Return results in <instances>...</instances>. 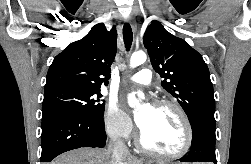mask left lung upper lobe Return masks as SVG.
I'll return each instance as SVG.
<instances>
[{"instance_id":"left-lung-upper-lobe-1","label":"left lung upper lobe","mask_w":251,"mask_h":164,"mask_svg":"<svg viewBox=\"0 0 251 164\" xmlns=\"http://www.w3.org/2000/svg\"><path fill=\"white\" fill-rule=\"evenodd\" d=\"M143 42L153 68L164 78L162 87L178 100L191 127L200 120L215 122L213 86L202 56L158 22L147 28Z\"/></svg>"}]
</instances>
